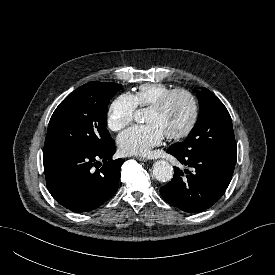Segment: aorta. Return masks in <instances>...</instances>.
Instances as JSON below:
<instances>
[{
	"label": "aorta",
	"mask_w": 275,
	"mask_h": 275,
	"mask_svg": "<svg viewBox=\"0 0 275 275\" xmlns=\"http://www.w3.org/2000/svg\"><path fill=\"white\" fill-rule=\"evenodd\" d=\"M134 119L137 123H141L144 120V109L136 110ZM153 175L160 182H168L173 177V168L169 162L158 160L153 165Z\"/></svg>",
	"instance_id": "762f6f07"
}]
</instances>
